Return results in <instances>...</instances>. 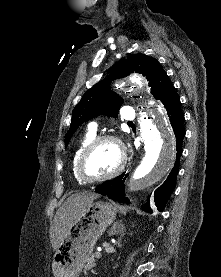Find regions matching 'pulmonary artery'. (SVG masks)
I'll return each mask as SVG.
<instances>
[{"label": "pulmonary artery", "mask_w": 221, "mask_h": 277, "mask_svg": "<svg viewBox=\"0 0 221 277\" xmlns=\"http://www.w3.org/2000/svg\"><path fill=\"white\" fill-rule=\"evenodd\" d=\"M122 118L128 122H132L135 118V112L130 106H124L121 111ZM89 129L93 132L97 130V124L92 122L89 125Z\"/></svg>", "instance_id": "obj_1"}]
</instances>
